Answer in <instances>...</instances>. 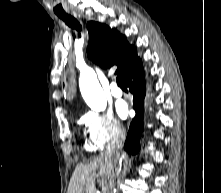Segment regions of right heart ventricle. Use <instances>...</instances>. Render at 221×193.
<instances>
[{"label": "right heart ventricle", "instance_id": "right-heart-ventricle-1", "mask_svg": "<svg viewBox=\"0 0 221 193\" xmlns=\"http://www.w3.org/2000/svg\"><path fill=\"white\" fill-rule=\"evenodd\" d=\"M85 148L88 151H96L97 149H99L100 147L97 146L95 143L93 142H86L85 143Z\"/></svg>", "mask_w": 221, "mask_h": 193}]
</instances>
